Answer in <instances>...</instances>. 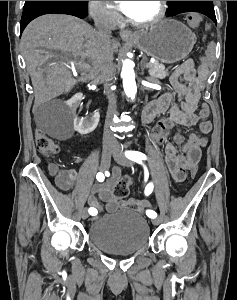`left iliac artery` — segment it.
Masks as SVG:
<instances>
[{
  "label": "left iliac artery",
  "instance_id": "obj_1",
  "mask_svg": "<svg viewBox=\"0 0 237 300\" xmlns=\"http://www.w3.org/2000/svg\"><path fill=\"white\" fill-rule=\"evenodd\" d=\"M125 155L128 159L137 162L139 164H142V160H146L145 154L138 152V151H126ZM145 172H148L147 168L144 166ZM153 183H149L145 188V195H149L153 191ZM146 214L149 218H156L157 213L153 210H147Z\"/></svg>",
  "mask_w": 237,
  "mask_h": 300
}]
</instances>
